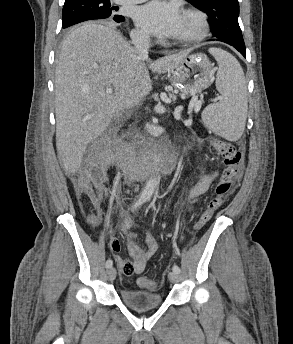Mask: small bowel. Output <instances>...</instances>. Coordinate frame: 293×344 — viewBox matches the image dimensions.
I'll list each match as a JSON object with an SVG mask.
<instances>
[{"label": "small bowel", "mask_w": 293, "mask_h": 344, "mask_svg": "<svg viewBox=\"0 0 293 344\" xmlns=\"http://www.w3.org/2000/svg\"><path fill=\"white\" fill-rule=\"evenodd\" d=\"M198 171L202 174L201 179L191 187L188 194L189 208H192L201 195H203L214 182L218 176V171L209 170L206 167H199ZM86 191L92 201V204L96 209H99L100 203L96 192L92 187L87 186ZM134 225V221L126 217L120 227L121 233L127 239V249L130 258L126 259L120 255H114V260L117 263L120 271L127 276L140 275L144 272L147 261L156 253L158 249V243L153 234L147 233L139 244L137 240V234L131 230ZM109 247L114 252L121 250V243L118 237L111 235L108 241Z\"/></svg>", "instance_id": "small-bowel-1"}]
</instances>
